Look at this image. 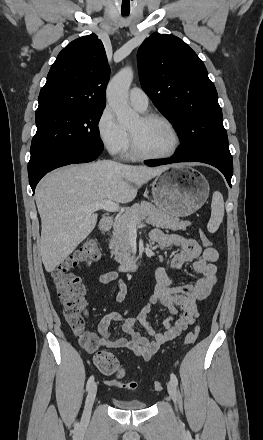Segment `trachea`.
Returning <instances> with one entry per match:
<instances>
[{
  "instance_id": "1",
  "label": "trachea",
  "mask_w": 263,
  "mask_h": 440,
  "mask_svg": "<svg viewBox=\"0 0 263 440\" xmlns=\"http://www.w3.org/2000/svg\"><path fill=\"white\" fill-rule=\"evenodd\" d=\"M122 15H123V16H127V15H129V11H128V12H124V11H122Z\"/></svg>"
}]
</instances>
